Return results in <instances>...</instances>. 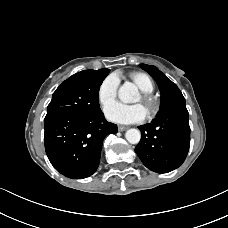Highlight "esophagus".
<instances>
[{"instance_id": "1", "label": "esophagus", "mask_w": 228, "mask_h": 228, "mask_svg": "<svg viewBox=\"0 0 228 228\" xmlns=\"http://www.w3.org/2000/svg\"><path fill=\"white\" fill-rule=\"evenodd\" d=\"M127 129H128V127H126V126H122V125L118 126V130H119L120 132H123V131H125V130H127Z\"/></svg>"}]
</instances>
